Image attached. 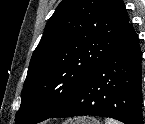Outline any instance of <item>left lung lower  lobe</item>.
<instances>
[{"label": "left lung lower lobe", "mask_w": 145, "mask_h": 124, "mask_svg": "<svg viewBox=\"0 0 145 124\" xmlns=\"http://www.w3.org/2000/svg\"><path fill=\"white\" fill-rule=\"evenodd\" d=\"M142 53L130 24L122 40L86 82L49 118L103 116L125 124H143Z\"/></svg>", "instance_id": "left-lung-lower-lobe-1"}]
</instances>
